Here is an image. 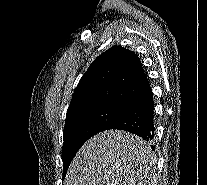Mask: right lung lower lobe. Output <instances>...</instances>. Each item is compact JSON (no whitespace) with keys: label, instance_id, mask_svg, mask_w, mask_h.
<instances>
[{"label":"right lung lower lobe","instance_id":"obj_1","mask_svg":"<svg viewBox=\"0 0 207 185\" xmlns=\"http://www.w3.org/2000/svg\"><path fill=\"white\" fill-rule=\"evenodd\" d=\"M131 132L151 142L155 138L154 104L151 88L130 102L107 127ZM154 149L153 145H151Z\"/></svg>","mask_w":207,"mask_h":185}]
</instances>
